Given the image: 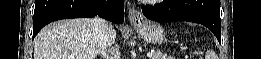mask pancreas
<instances>
[{
    "instance_id": "obj_1",
    "label": "pancreas",
    "mask_w": 261,
    "mask_h": 59,
    "mask_svg": "<svg viewBox=\"0 0 261 59\" xmlns=\"http://www.w3.org/2000/svg\"><path fill=\"white\" fill-rule=\"evenodd\" d=\"M150 59H170V57L160 51H156L153 52V56Z\"/></svg>"
}]
</instances>
